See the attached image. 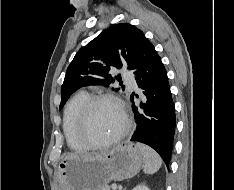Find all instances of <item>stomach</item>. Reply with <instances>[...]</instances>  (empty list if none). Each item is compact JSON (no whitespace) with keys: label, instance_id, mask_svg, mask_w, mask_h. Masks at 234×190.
<instances>
[{"label":"stomach","instance_id":"stomach-1","mask_svg":"<svg viewBox=\"0 0 234 190\" xmlns=\"http://www.w3.org/2000/svg\"><path fill=\"white\" fill-rule=\"evenodd\" d=\"M143 156L137 146L125 141L98 155L65 157L58 166L60 190H101L111 181L135 176Z\"/></svg>","mask_w":234,"mask_h":190}]
</instances>
